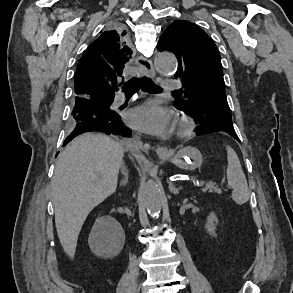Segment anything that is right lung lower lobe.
<instances>
[{"mask_svg": "<svg viewBox=\"0 0 293 293\" xmlns=\"http://www.w3.org/2000/svg\"><path fill=\"white\" fill-rule=\"evenodd\" d=\"M113 99L103 97L76 98L72 111L74 129L65 139L63 146L77 135L89 131L130 136L131 130L124 126L119 114L110 109ZM105 104H108L109 108H105Z\"/></svg>", "mask_w": 293, "mask_h": 293, "instance_id": "1", "label": "right lung lower lobe"}]
</instances>
